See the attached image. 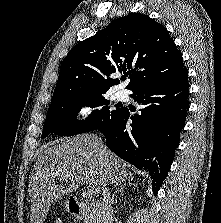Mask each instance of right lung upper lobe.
I'll use <instances>...</instances> for the list:
<instances>
[{"instance_id":"obj_1","label":"right lung upper lobe","mask_w":221,"mask_h":223,"mask_svg":"<svg viewBox=\"0 0 221 223\" xmlns=\"http://www.w3.org/2000/svg\"><path fill=\"white\" fill-rule=\"evenodd\" d=\"M131 68L129 90L167 80L186 68L166 28L141 13L118 18L75 45L61 64L51 102L106 93L119 84L110 75Z\"/></svg>"}]
</instances>
